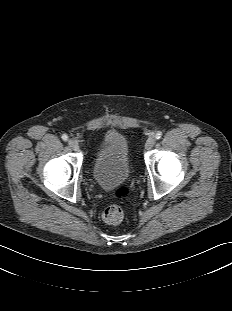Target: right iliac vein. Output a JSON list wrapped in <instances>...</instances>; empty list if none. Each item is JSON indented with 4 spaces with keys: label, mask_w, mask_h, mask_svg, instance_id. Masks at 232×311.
Returning <instances> with one entry per match:
<instances>
[{
    "label": "right iliac vein",
    "mask_w": 232,
    "mask_h": 311,
    "mask_svg": "<svg viewBox=\"0 0 232 311\" xmlns=\"http://www.w3.org/2000/svg\"><path fill=\"white\" fill-rule=\"evenodd\" d=\"M68 144H69L70 148H72L75 151H77L78 148H79L78 143L75 140H73V139H70L68 141Z\"/></svg>",
    "instance_id": "obj_1"
}]
</instances>
